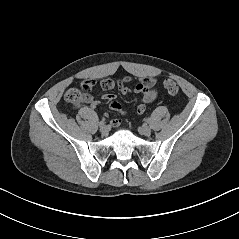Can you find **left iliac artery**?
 Wrapping results in <instances>:
<instances>
[{"label": "left iliac artery", "mask_w": 239, "mask_h": 239, "mask_svg": "<svg viewBox=\"0 0 239 239\" xmlns=\"http://www.w3.org/2000/svg\"><path fill=\"white\" fill-rule=\"evenodd\" d=\"M146 122H147V123H149V122H150V119H149V118H147V119H146Z\"/></svg>", "instance_id": "left-iliac-artery-1"}]
</instances>
